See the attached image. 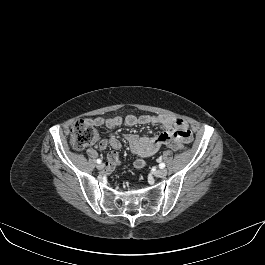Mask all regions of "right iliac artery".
Instances as JSON below:
<instances>
[{
  "label": "right iliac artery",
  "mask_w": 265,
  "mask_h": 265,
  "mask_svg": "<svg viewBox=\"0 0 265 265\" xmlns=\"http://www.w3.org/2000/svg\"><path fill=\"white\" fill-rule=\"evenodd\" d=\"M96 162H97L98 164H100V163L102 162V160H101V159H97Z\"/></svg>",
  "instance_id": "82829eb1"
}]
</instances>
